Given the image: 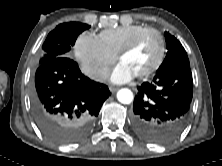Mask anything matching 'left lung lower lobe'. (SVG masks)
<instances>
[{
	"instance_id": "1",
	"label": "left lung lower lobe",
	"mask_w": 222,
	"mask_h": 166,
	"mask_svg": "<svg viewBox=\"0 0 222 166\" xmlns=\"http://www.w3.org/2000/svg\"><path fill=\"white\" fill-rule=\"evenodd\" d=\"M193 96L190 67L156 73L138 87L133 126L144 139L157 144L173 141L186 127Z\"/></svg>"
}]
</instances>
